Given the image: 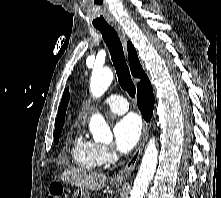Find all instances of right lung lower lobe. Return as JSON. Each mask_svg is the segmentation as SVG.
I'll return each instance as SVG.
<instances>
[{
	"mask_svg": "<svg viewBox=\"0 0 221 198\" xmlns=\"http://www.w3.org/2000/svg\"><path fill=\"white\" fill-rule=\"evenodd\" d=\"M137 105L144 119L150 121L154 108V94L148 79L137 85Z\"/></svg>",
	"mask_w": 221,
	"mask_h": 198,
	"instance_id": "1",
	"label": "right lung lower lobe"
}]
</instances>
